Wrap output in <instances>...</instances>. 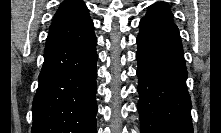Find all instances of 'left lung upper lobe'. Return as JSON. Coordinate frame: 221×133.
I'll list each match as a JSON object with an SVG mask.
<instances>
[{
    "label": "left lung upper lobe",
    "mask_w": 221,
    "mask_h": 133,
    "mask_svg": "<svg viewBox=\"0 0 221 133\" xmlns=\"http://www.w3.org/2000/svg\"><path fill=\"white\" fill-rule=\"evenodd\" d=\"M143 19H157L172 22L173 14L167 6L161 3H155L150 6L148 13Z\"/></svg>",
    "instance_id": "obj_1"
}]
</instances>
